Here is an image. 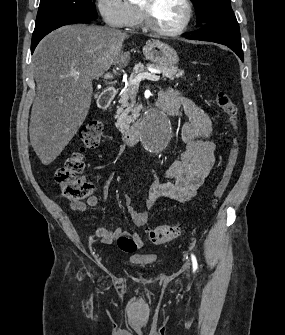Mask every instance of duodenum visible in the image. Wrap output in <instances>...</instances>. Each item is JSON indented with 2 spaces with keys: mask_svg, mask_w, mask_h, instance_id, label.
Masks as SVG:
<instances>
[{
  "mask_svg": "<svg viewBox=\"0 0 285 335\" xmlns=\"http://www.w3.org/2000/svg\"><path fill=\"white\" fill-rule=\"evenodd\" d=\"M117 90L115 87H109L102 91L98 98V105L102 109H106L111 102L113 101ZM158 108L165 113L166 115L174 116L177 113L176 107L169 100H160L158 101ZM140 130H141V122L136 121L131 124L123 134L124 142L132 146L140 139Z\"/></svg>",
  "mask_w": 285,
  "mask_h": 335,
  "instance_id": "obj_1",
  "label": "duodenum"
}]
</instances>
